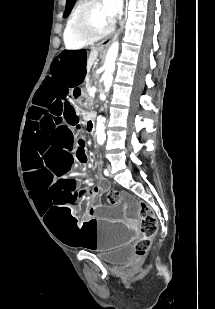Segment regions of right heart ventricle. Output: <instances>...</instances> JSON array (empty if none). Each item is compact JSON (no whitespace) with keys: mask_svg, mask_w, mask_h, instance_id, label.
<instances>
[{"mask_svg":"<svg viewBox=\"0 0 215 309\" xmlns=\"http://www.w3.org/2000/svg\"><path fill=\"white\" fill-rule=\"evenodd\" d=\"M74 12H75V9L69 15L67 22H66L64 32H63V42H64V45H65L66 48H80L73 42L71 35L68 31V24H69ZM69 28H74V25H69Z\"/></svg>","mask_w":215,"mask_h":309,"instance_id":"right-heart-ventricle-1","label":"right heart ventricle"}]
</instances>
